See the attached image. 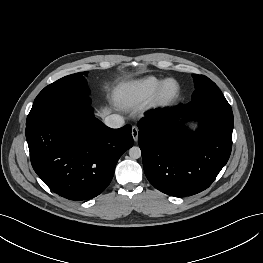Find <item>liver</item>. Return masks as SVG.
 <instances>
[{
  "mask_svg": "<svg viewBox=\"0 0 263 263\" xmlns=\"http://www.w3.org/2000/svg\"><path fill=\"white\" fill-rule=\"evenodd\" d=\"M107 112H108V110L105 109L102 113H100V115L104 117V116L106 115Z\"/></svg>",
  "mask_w": 263,
  "mask_h": 263,
  "instance_id": "6515ba94",
  "label": "liver"
}]
</instances>
